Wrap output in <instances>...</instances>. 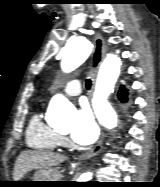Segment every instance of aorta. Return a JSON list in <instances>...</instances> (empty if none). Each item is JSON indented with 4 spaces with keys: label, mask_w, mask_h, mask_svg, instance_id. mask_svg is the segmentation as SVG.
Instances as JSON below:
<instances>
[{
    "label": "aorta",
    "mask_w": 160,
    "mask_h": 187,
    "mask_svg": "<svg viewBox=\"0 0 160 187\" xmlns=\"http://www.w3.org/2000/svg\"><path fill=\"white\" fill-rule=\"evenodd\" d=\"M92 45L83 37L70 39L63 49L61 68L68 73L79 67L91 54ZM121 59L114 54L107 55L101 64L95 92L92 100L97 119L105 128L113 129L117 126V115L108 103V96L113 92L114 85L120 74ZM73 110L72 104L63 96L55 95L49 104L47 118L50 123L68 120ZM92 173L80 175L78 182H90Z\"/></svg>",
    "instance_id": "762f6f07"
}]
</instances>
